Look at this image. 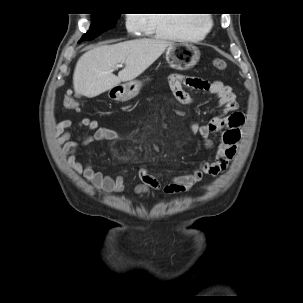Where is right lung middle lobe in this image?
Here are the masks:
<instances>
[{
	"label": "right lung middle lobe",
	"mask_w": 303,
	"mask_h": 303,
	"mask_svg": "<svg viewBox=\"0 0 303 303\" xmlns=\"http://www.w3.org/2000/svg\"><path fill=\"white\" fill-rule=\"evenodd\" d=\"M119 13L112 14H92V23L90 26V30L83 35L81 41L93 39L98 36L100 33L105 32L111 28H113L117 20L119 19Z\"/></svg>",
	"instance_id": "right-lung-middle-lobe-1"
}]
</instances>
